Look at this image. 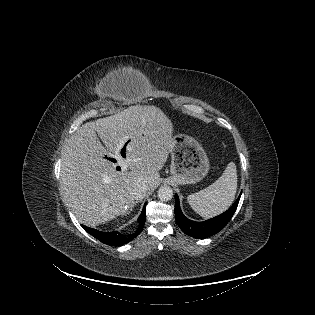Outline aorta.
<instances>
[{
    "label": "aorta",
    "mask_w": 315,
    "mask_h": 315,
    "mask_svg": "<svg viewBox=\"0 0 315 315\" xmlns=\"http://www.w3.org/2000/svg\"><path fill=\"white\" fill-rule=\"evenodd\" d=\"M173 197V190L169 186H161L158 190V198L161 201H169Z\"/></svg>",
    "instance_id": "obj_1"
}]
</instances>
